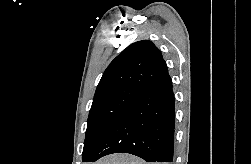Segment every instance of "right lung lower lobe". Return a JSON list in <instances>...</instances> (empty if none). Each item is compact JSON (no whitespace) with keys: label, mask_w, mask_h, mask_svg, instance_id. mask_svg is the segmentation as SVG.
<instances>
[{"label":"right lung lower lobe","mask_w":251,"mask_h":164,"mask_svg":"<svg viewBox=\"0 0 251 164\" xmlns=\"http://www.w3.org/2000/svg\"><path fill=\"white\" fill-rule=\"evenodd\" d=\"M175 100L169 75L143 87L84 162L112 153H130L147 162H172Z\"/></svg>","instance_id":"1"}]
</instances>
